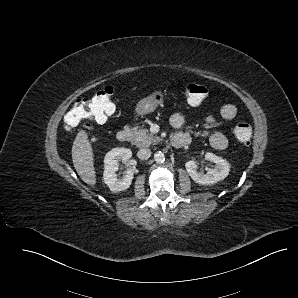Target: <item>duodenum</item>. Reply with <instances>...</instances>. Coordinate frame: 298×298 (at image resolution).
<instances>
[{"mask_svg":"<svg viewBox=\"0 0 298 298\" xmlns=\"http://www.w3.org/2000/svg\"><path fill=\"white\" fill-rule=\"evenodd\" d=\"M130 137H131V133H130V130L127 128H123L117 133V140L121 143L129 142ZM189 143H190V137L185 133H177L171 139V144L175 148H183L187 146Z\"/></svg>","mask_w":298,"mask_h":298,"instance_id":"duodenum-1","label":"duodenum"}]
</instances>
